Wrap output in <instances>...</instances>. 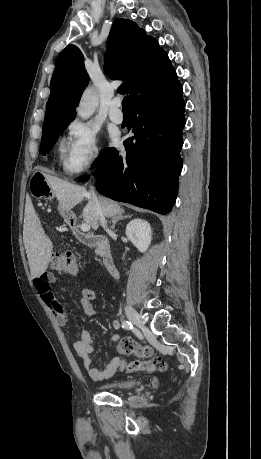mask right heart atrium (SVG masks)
<instances>
[{
	"label": "right heart atrium",
	"mask_w": 261,
	"mask_h": 459,
	"mask_svg": "<svg viewBox=\"0 0 261 459\" xmlns=\"http://www.w3.org/2000/svg\"><path fill=\"white\" fill-rule=\"evenodd\" d=\"M69 147L63 162L67 173L79 174L93 167L100 154L96 130L88 123L72 121L68 126Z\"/></svg>",
	"instance_id": "obj_1"
}]
</instances>
